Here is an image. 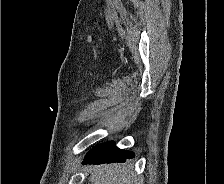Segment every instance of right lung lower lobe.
<instances>
[{"label":"right lung lower lobe","mask_w":224,"mask_h":184,"mask_svg":"<svg viewBox=\"0 0 224 184\" xmlns=\"http://www.w3.org/2000/svg\"><path fill=\"white\" fill-rule=\"evenodd\" d=\"M134 157V153L126 150H121L117 148L113 141L105 142L95 146L90 150L83 164H102V163H115V162H125L126 159Z\"/></svg>","instance_id":"98d812e1"}]
</instances>
